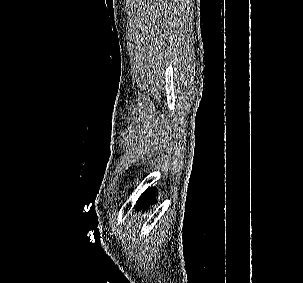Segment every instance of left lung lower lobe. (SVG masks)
<instances>
[{
  "label": "left lung lower lobe",
  "instance_id": "1",
  "mask_svg": "<svg viewBox=\"0 0 303 283\" xmlns=\"http://www.w3.org/2000/svg\"><path fill=\"white\" fill-rule=\"evenodd\" d=\"M155 191L153 189H148L145 193L142 194L140 199L137 202V209H145L147 204H150L154 201Z\"/></svg>",
  "mask_w": 303,
  "mask_h": 283
}]
</instances>
